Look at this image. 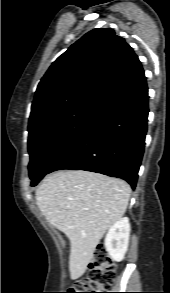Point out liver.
Listing matches in <instances>:
<instances>
[{"label":"liver","instance_id":"liver-1","mask_svg":"<svg viewBox=\"0 0 170 293\" xmlns=\"http://www.w3.org/2000/svg\"><path fill=\"white\" fill-rule=\"evenodd\" d=\"M130 193L124 180L83 170L55 172L37 188L40 211L70 240L72 280L85 273L100 239L125 213Z\"/></svg>","mask_w":170,"mask_h":293}]
</instances>
